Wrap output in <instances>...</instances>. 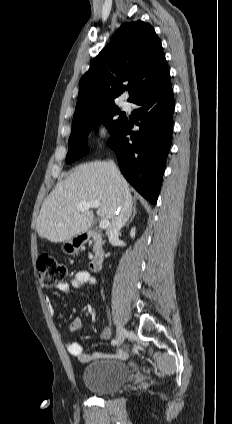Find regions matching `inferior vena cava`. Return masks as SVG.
I'll list each match as a JSON object with an SVG mask.
<instances>
[{"label":"inferior vena cava","mask_w":232,"mask_h":424,"mask_svg":"<svg viewBox=\"0 0 232 424\" xmlns=\"http://www.w3.org/2000/svg\"><path fill=\"white\" fill-rule=\"evenodd\" d=\"M113 171L118 173V169L115 164L110 162ZM132 212V197L130 194H126L124 197L123 203L118 207L115 216L111 220V226L107 230L108 235H116L119 233L120 229L125 225L128 221Z\"/></svg>","instance_id":"obj_1"}]
</instances>
